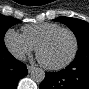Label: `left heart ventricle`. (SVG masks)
<instances>
[{
    "instance_id": "b2bd125f",
    "label": "left heart ventricle",
    "mask_w": 89,
    "mask_h": 89,
    "mask_svg": "<svg viewBox=\"0 0 89 89\" xmlns=\"http://www.w3.org/2000/svg\"><path fill=\"white\" fill-rule=\"evenodd\" d=\"M73 46L71 35L68 32H59L41 48V59L51 65L60 64L71 55Z\"/></svg>"
}]
</instances>
